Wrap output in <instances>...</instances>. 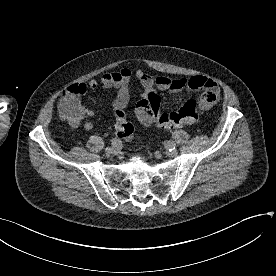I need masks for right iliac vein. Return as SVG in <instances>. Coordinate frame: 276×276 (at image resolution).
Here are the masks:
<instances>
[{"mask_svg":"<svg viewBox=\"0 0 276 276\" xmlns=\"http://www.w3.org/2000/svg\"><path fill=\"white\" fill-rule=\"evenodd\" d=\"M119 146H110L105 149L106 153L109 155L115 154L119 151Z\"/></svg>","mask_w":276,"mask_h":276,"instance_id":"1","label":"right iliac vein"}]
</instances>
